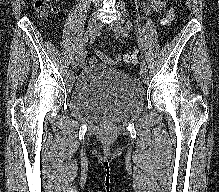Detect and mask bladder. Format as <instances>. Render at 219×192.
I'll use <instances>...</instances> for the list:
<instances>
[{"mask_svg": "<svg viewBox=\"0 0 219 192\" xmlns=\"http://www.w3.org/2000/svg\"><path fill=\"white\" fill-rule=\"evenodd\" d=\"M141 83L118 68L93 63L76 78L68 102L93 122H121L144 103Z\"/></svg>", "mask_w": 219, "mask_h": 192, "instance_id": "obj_1", "label": "bladder"}]
</instances>
